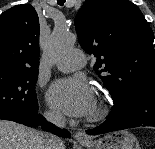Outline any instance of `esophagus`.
<instances>
[{
	"label": "esophagus",
	"mask_w": 155,
	"mask_h": 149,
	"mask_svg": "<svg viewBox=\"0 0 155 149\" xmlns=\"http://www.w3.org/2000/svg\"><path fill=\"white\" fill-rule=\"evenodd\" d=\"M74 138L78 142H86L88 141L87 135L83 131H78L75 133Z\"/></svg>",
	"instance_id": "1"
}]
</instances>
